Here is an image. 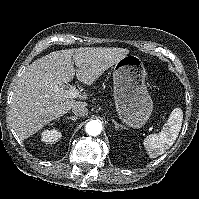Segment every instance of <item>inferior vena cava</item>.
<instances>
[{
    "instance_id": "1",
    "label": "inferior vena cava",
    "mask_w": 199,
    "mask_h": 199,
    "mask_svg": "<svg viewBox=\"0 0 199 199\" xmlns=\"http://www.w3.org/2000/svg\"><path fill=\"white\" fill-rule=\"evenodd\" d=\"M72 112L77 116H86L88 114V109L84 103L78 102L72 107Z\"/></svg>"
}]
</instances>
